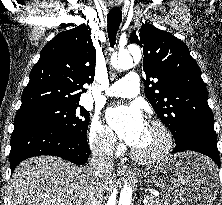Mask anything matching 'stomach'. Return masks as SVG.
<instances>
[{
    "label": "stomach",
    "mask_w": 222,
    "mask_h": 205,
    "mask_svg": "<svg viewBox=\"0 0 222 205\" xmlns=\"http://www.w3.org/2000/svg\"><path fill=\"white\" fill-rule=\"evenodd\" d=\"M139 180L157 186L165 205H211L218 184L214 164L192 152L169 156Z\"/></svg>",
    "instance_id": "0dacf381"
}]
</instances>
